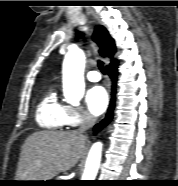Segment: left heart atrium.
<instances>
[{"instance_id":"left-heart-atrium-1","label":"left heart atrium","mask_w":178,"mask_h":186,"mask_svg":"<svg viewBox=\"0 0 178 186\" xmlns=\"http://www.w3.org/2000/svg\"><path fill=\"white\" fill-rule=\"evenodd\" d=\"M85 101L89 111L93 115H100L107 108L108 94L102 86L96 85L87 91Z\"/></svg>"}]
</instances>
